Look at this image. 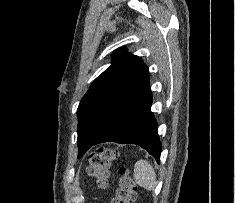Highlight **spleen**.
<instances>
[{"label":"spleen","mask_w":235,"mask_h":203,"mask_svg":"<svg viewBox=\"0 0 235 203\" xmlns=\"http://www.w3.org/2000/svg\"><path fill=\"white\" fill-rule=\"evenodd\" d=\"M134 178L139 186L146 190H154L157 185L156 173L146 160H139L134 166Z\"/></svg>","instance_id":"spleen-1"}]
</instances>
